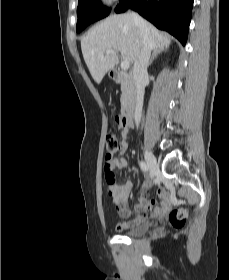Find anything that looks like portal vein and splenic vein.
Wrapping results in <instances>:
<instances>
[{"instance_id":"obj_1","label":"portal vein and splenic vein","mask_w":229,"mask_h":280,"mask_svg":"<svg viewBox=\"0 0 229 280\" xmlns=\"http://www.w3.org/2000/svg\"><path fill=\"white\" fill-rule=\"evenodd\" d=\"M116 52L114 50H107L106 54H115ZM130 66V62L127 60L122 61L121 63V69L122 70H127Z\"/></svg>"}]
</instances>
